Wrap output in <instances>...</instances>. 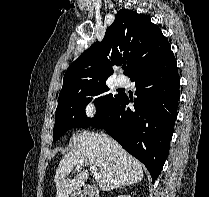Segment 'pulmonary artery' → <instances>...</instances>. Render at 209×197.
<instances>
[{"label": "pulmonary artery", "mask_w": 209, "mask_h": 197, "mask_svg": "<svg viewBox=\"0 0 209 197\" xmlns=\"http://www.w3.org/2000/svg\"><path fill=\"white\" fill-rule=\"evenodd\" d=\"M116 84H117L118 86H123V85L125 84V80H124L123 78H118V79L116 80Z\"/></svg>", "instance_id": "1"}]
</instances>
